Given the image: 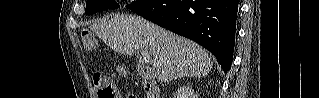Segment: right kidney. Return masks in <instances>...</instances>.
Masks as SVG:
<instances>
[{"label":"right kidney","mask_w":319,"mask_h":98,"mask_svg":"<svg viewBox=\"0 0 319 98\" xmlns=\"http://www.w3.org/2000/svg\"><path fill=\"white\" fill-rule=\"evenodd\" d=\"M187 93L191 96H193L194 98L196 97L195 93L193 90H187Z\"/></svg>","instance_id":"obj_1"}]
</instances>
